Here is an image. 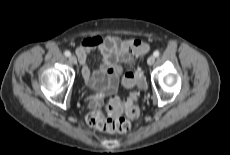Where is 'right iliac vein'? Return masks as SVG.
I'll return each mask as SVG.
<instances>
[{"instance_id":"right-iliac-vein-1","label":"right iliac vein","mask_w":230,"mask_h":155,"mask_svg":"<svg viewBox=\"0 0 230 155\" xmlns=\"http://www.w3.org/2000/svg\"><path fill=\"white\" fill-rule=\"evenodd\" d=\"M68 59H69V62L71 64H76L77 63V59H76V57L74 55H70Z\"/></svg>"}]
</instances>
